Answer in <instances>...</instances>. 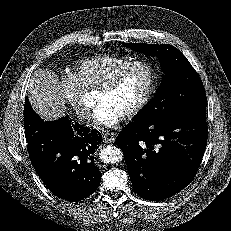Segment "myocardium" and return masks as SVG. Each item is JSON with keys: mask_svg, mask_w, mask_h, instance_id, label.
I'll use <instances>...</instances> for the list:
<instances>
[{"mask_svg": "<svg viewBox=\"0 0 231 231\" xmlns=\"http://www.w3.org/2000/svg\"><path fill=\"white\" fill-rule=\"evenodd\" d=\"M137 66H144L147 68L149 72V84L146 92L144 93L140 101L129 112H127L125 115L122 116V118L125 120H129L137 116L146 107L153 93L155 92L158 77L153 65L146 60H134L129 64H127L126 66H124L123 68H121L115 74H113L105 83H103L98 88L99 93L107 94L112 92L118 86V84L126 75V73L132 68Z\"/></svg>", "mask_w": 231, "mask_h": 231, "instance_id": "myocardium-1", "label": "myocardium"}]
</instances>
